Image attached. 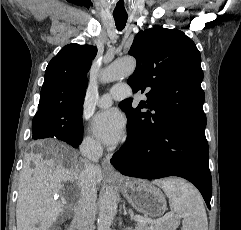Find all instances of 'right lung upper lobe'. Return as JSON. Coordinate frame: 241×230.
I'll return each mask as SVG.
<instances>
[{"label":"right lung upper lobe","instance_id":"cb5924a9","mask_svg":"<svg viewBox=\"0 0 241 230\" xmlns=\"http://www.w3.org/2000/svg\"><path fill=\"white\" fill-rule=\"evenodd\" d=\"M97 54L92 45L69 44L52 58L45 71L38 111L83 107L87 72Z\"/></svg>","mask_w":241,"mask_h":230}]
</instances>
